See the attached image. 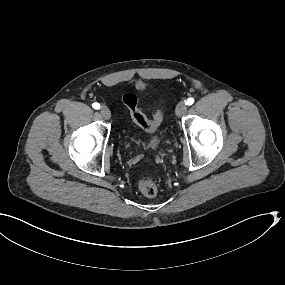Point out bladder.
<instances>
[{"label": "bladder", "mask_w": 285, "mask_h": 285, "mask_svg": "<svg viewBox=\"0 0 285 285\" xmlns=\"http://www.w3.org/2000/svg\"><path fill=\"white\" fill-rule=\"evenodd\" d=\"M163 139L166 140V136H163ZM137 143L144 148H156L159 145L158 138L156 136H151L148 139L137 138Z\"/></svg>", "instance_id": "obj_1"}]
</instances>
